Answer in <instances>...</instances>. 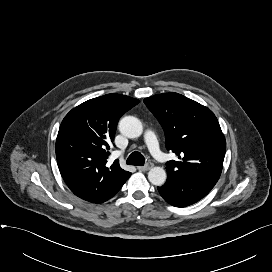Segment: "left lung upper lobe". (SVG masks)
I'll use <instances>...</instances> for the list:
<instances>
[{
    "instance_id": "5c2ea615",
    "label": "left lung upper lobe",
    "mask_w": 272,
    "mask_h": 272,
    "mask_svg": "<svg viewBox=\"0 0 272 272\" xmlns=\"http://www.w3.org/2000/svg\"><path fill=\"white\" fill-rule=\"evenodd\" d=\"M165 132V145L180 161L166 163L167 181L184 177L215 183L226 151L225 137L214 113L178 93L144 99Z\"/></svg>"
}]
</instances>
